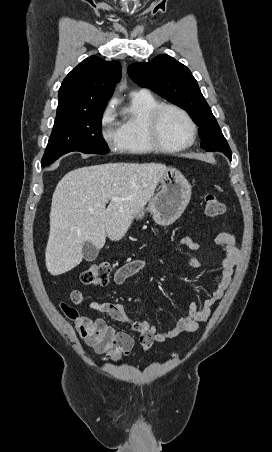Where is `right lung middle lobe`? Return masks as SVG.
<instances>
[{
    "label": "right lung middle lobe",
    "mask_w": 272,
    "mask_h": 452,
    "mask_svg": "<svg viewBox=\"0 0 272 452\" xmlns=\"http://www.w3.org/2000/svg\"><path fill=\"white\" fill-rule=\"evenodd\" d=\"M93 111L58 116L42 158V167L48 166L62 155L80 151L87 154H107L108 145L101 134L102 112Z\"/></svg>",
    "instance_id": "dd1d6c3e"
}]
</instances>
